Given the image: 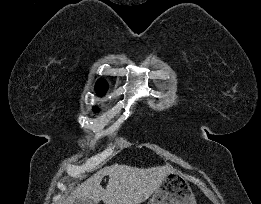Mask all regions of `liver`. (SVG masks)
<instances>
[{"mask_svg": "<svg viewBox=\"0 0 261 204\" xmlns=\"http://www.w3.org/2000/svg\"><path fill=\"white\" fill-rule=\"evenodd\" d=\"M173 172L171 166L137 168L114 164L104 167L78 185L63 204H74L80 198L91 199L95 204H140L147 200ZM109 176L106 189L100 185L104 176Z\"/></svg>", "mask_w": 261, "mask_h": 204, "instance_id": "obj_1", "label": "liver"}]
</instances>
